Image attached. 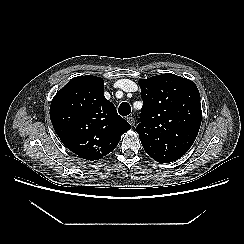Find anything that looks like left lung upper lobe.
Segmentation results:
<instances>
[{"label":"left lung upper lobe","instance_id":"obj_1","mask_svg":"<svg viewBox=\"0 0 244 244\" xmlns=\"http://www.w3.org/2000/svg\"><path fill=\"white\" fill-rule=\"evenodd\" d=\"M143 107L136 127L145 152L160 163L181 158L198 134L202 111L195 83L167 73L140 79Z\"/></svg>","mask_w":244,"mask_h":244}]
</instances>
